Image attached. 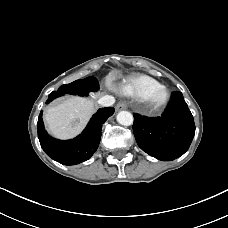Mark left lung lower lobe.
Here are the masks:
<instances>
[{
	"instance_id": "obj_1",
	"label": "left lung lower lobe",
	"mask_w": 228,
	"mask_h": 228,
	"mask_svg": "<svg viewBox=\"0 0 228 228\" xmlns=\"http://www.w3.org/2000/svg\"><path fill=\"white\" fill-rule=\"evenodd\" d=\"M133 116L137 144L149 155L170 161L188 150L195 134V124L181 92L172 93L170 104L161 117Z\"/></svg>"
}]
</instances>
